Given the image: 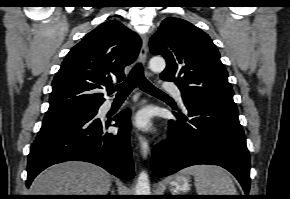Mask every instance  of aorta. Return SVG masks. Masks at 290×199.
Wrapping results in <instances>:
<instances>
[{
	"label": "aorta",
	"mask_w": 290,
	"mask_h": 199,
	"mask_svg": "<svg viewBox=\"0 0 290 199\" xmlns=\"http://www.w3.org/2000/svg\"><path fill=\"white\" fill-rule=\"evenodd\" d=\"M166 67V62L162 57H152L149 61V68L153 72H162ZM135 195H151L150 181L146 171H142L137 179Z\"/></svg>",
	"instance_id": "aorta-1"
}]
</instances>
